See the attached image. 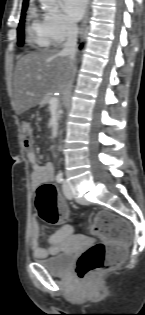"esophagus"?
I'll return each mask as SVG.
<instances>
[{
  "label": "esophagus",
  "mask_w": 145,
  "mask_h": 315,
  "mask_svg": "<svg viewBox=\"0 0 145 315\" xmlns=\"http://www.w3.org/2000/svg\"><path fill=\"white\" fill-rule=\"evenodd\" d=\"M90 7H91V0H87V6H86V11H85V15L81 24V28H80V37L83 36L86 27H87V23H88V19H89V15H90Z\"/></svg>",
  "instance_id": "esophagus-1"
}]
</instances>
